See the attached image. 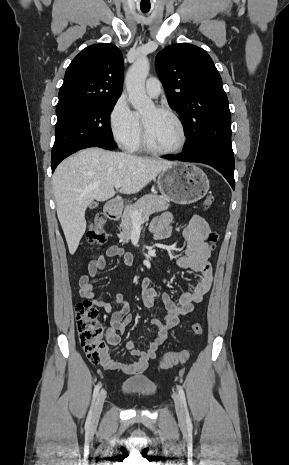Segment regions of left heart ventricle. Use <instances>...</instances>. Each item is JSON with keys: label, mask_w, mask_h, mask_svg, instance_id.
Returning <instances> with one entry per match:
<instances>
[{"label": "left heart ventricle", "mask_w": 289, "mask_h": 465, "mask_svg": "<svg viewBox=\"0 0 289 465\" xmlns=\"http://www.w3.org/2000/svg\"><path fill=\"white\" fill-rule=\"evenodd\" d=\"M141 117L145 123L149 141L154 147L169 150L180 144V129L168 114L157 111L152 106L144 110Z\"/></svg>", "instance_id": "left-heart-ventricle-1"}]
</instances>
